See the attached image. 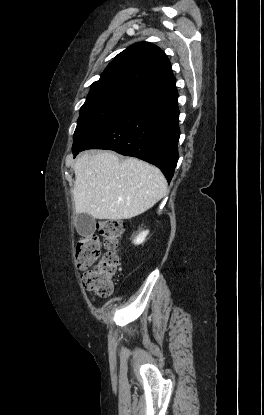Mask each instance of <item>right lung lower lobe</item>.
I'll return each mask as SVG.
<instances>
[{
    "label": "right lung lower lobe",
    "mask_w": 264,
    "mask_h": 415,
    "mask_svg": "<svg viewBox=\"0 0 264 415\" xmlns=\"http://www.w3.org/2000/svg\"><path fill=\"white\" fill-rule=\"evenodd\" d=\"M178 92L176 87L143 99L95 135L83 147L73 150L108 149L157 166L171 181L179 158Z\"/></svg>",
    "instance_id": "obj_1"
}]
</instances>
